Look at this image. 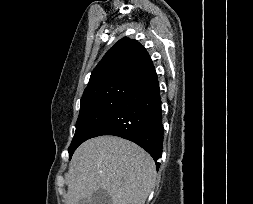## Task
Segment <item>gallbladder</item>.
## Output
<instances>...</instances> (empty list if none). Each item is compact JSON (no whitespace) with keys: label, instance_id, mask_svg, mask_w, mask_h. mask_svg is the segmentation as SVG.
Here are the masks:
<instances>
[{"label":"gallbladder","instance_id":"gallbladder-1","mask_svg":"<svg viewBox=\"0 0 253 204\" xmlns=\"http://www.w3.org/2000/svg\"><path fill=\"white\" fill-rule=\"evenodd\" d=\"M79 204H112V200L106 190L98 189L92 194L90 202L81 200Z\"/></svg>","mask_w":253,"mask_h":204}]
</instances>
